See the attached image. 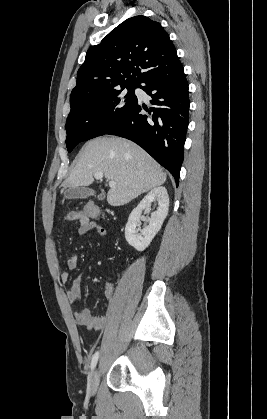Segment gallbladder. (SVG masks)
Listing matches in <instances>:
<instances>
[{
    "instance_id": "bac80fb5",
    "label": "gallbladder",
    "mask_w": 267,
    "mask_h": 419,
    "mask_svg": "<svg viewBox=\"0 0 267 419\" xmlns=\"http://www.w3.org/2000/svg\"><path fill=\"white\" fill-rule=\"evenodd\" d=\"M94 192L85 188V187H74L70 188L67 191L66 198L68 199H84L90 195H92ZM101 198H104L103 195H100Z\"/></svg>"
}]
</instances>
